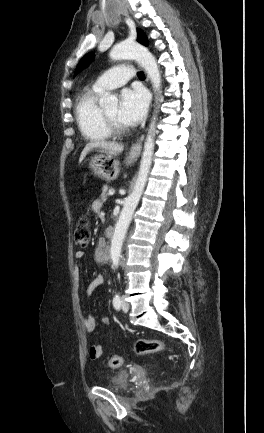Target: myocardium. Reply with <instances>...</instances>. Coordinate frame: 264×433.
Listing matches in <instances>:
<instances>
[{"label": "myocardium", "instance_id": "myocardium-1", "mask_svg": "<svg viewBox=\"0 0 264 433\" xmlns=\"http://www.w3.org/2000/svg\"><path fill=\"white\" fill-rule=\"evenodd\" d=\"M102 114L105 120V123L112 134L115 135H124L128 132V128L126 126L120 125L114 118H112L105 109H102Z\"/></svg>", "mask_w": 264, "mask_h": 433}]
</instances>
